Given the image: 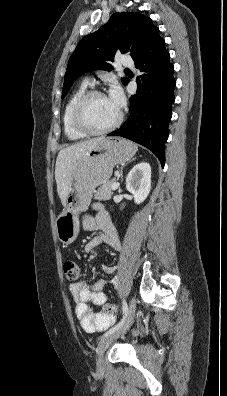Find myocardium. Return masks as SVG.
<instances>
[{
    "instance_id": "myocardium-1",
    "label": "myocardium",
    "mask_w": 227,
    "mask_h": 396,
    "mask_svg": "<svg viewBox=\"0 0 227 396\" xmlns=\"http://www.w3.org/2000/svg\"><path fill=\"white\" fill-rule=\"evenodd\" d=\"M96 96H105V94L97 89L86 91L76 102L73 111V121L75 126L87 135L106 134L115 130L123 121V112L119 110L117 119L107 127L95 128L89 124L86 119V108L89 101Z\"/></svg>"
}]
</instances>
